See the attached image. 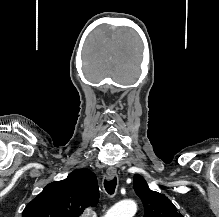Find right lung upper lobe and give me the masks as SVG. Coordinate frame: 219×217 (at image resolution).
I'll list each match as a JSON object with an SVG mask.
<instances>
[{"label": "right lung upper lobe", "mask_w": 219, "mask_h": 217, "mask_svg": "<svg viewBox=\"0 0 219 217\" xmlns=\"http://www.w3.org/2000/svg\"><path fill=\"white\" fill-rule=\"evenodd\" d=\"M99 189L93 172L78 169L62 181L48 184L24 209L22 217H79L95 207Z\"/></svg>", "instance_id": "obj_1"}]
</instances>
